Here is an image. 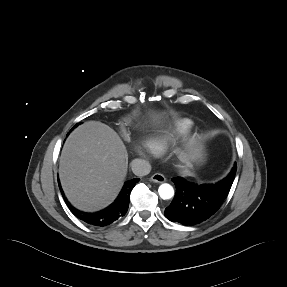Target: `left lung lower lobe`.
<instances>
[{"label":"left lung lower lobe","mask_w":287,"mask_h":287,"mask_svg":"<svg viewBox=\"0 0 287 287\" xmlns=\"http://www.w3.org/2000/svg\"><path fill=\"white\" fill-rule=\"evenodd\" d=\"M236 165L230 174L217 184L197 185L181 177L172 178L176 195L165 209V217L183 225H195L213 215L227 197L232 186Z\"/></svg>","instance_id":"0a47b994"}]
</instances>
